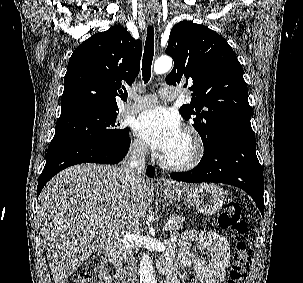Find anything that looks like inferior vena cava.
<instances>
[{
    "instance_id": "602c4592",
    "label": "inferior vena cava",
    "mask_w": 303,
    "mask_h": 283,
    "mask_svg": "<svg viewBox=\"0 0 303 283\" xmlns=\"http://www.w3.org/2000/svg\"><path fill=\"white\" fill-rule=\"evenodd\" d=\"M147 147L143 144L135 145L130 148L121 168L126 172V181L132 183L137 177L143 176L145 171V157ZM130 236V231H125L122 243L127 244L126 240ZM127 283H139L137 278V266L133 253L129 249L126 259Z\"/></svg>"
}]
</instances>
